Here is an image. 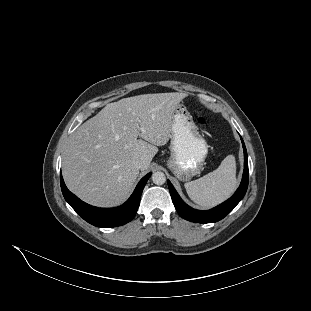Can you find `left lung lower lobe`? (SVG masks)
Returning a JSON list of instances; mask_svg holds the SVG:
<instances>
[{"label": "left lung lower lobe", "instance_id": "obj_1", "mask_svg": "<svg viewBox=\"0 0 311 311\" xmlns=\"http://www.w3.org/2000/svg\"><path fill=\"white\" fill-rule=\"evenodd\" d=\"M240 138L244 150V171L242 181L240 183L239 188L234 193V195L225 202H223L222 204L206 211L193 209L182 201V199L180 198V196L178 195V193L176 192L175 188L172 186L170 181L169 180L167 181L174 206L178 214L182 218L196 223L217 222L223 219L245 196L248 188V158L245 144L243 142L242 137Z\"/></svg>", "mask_w": 311, "mask_h": 311}]
</instances>
